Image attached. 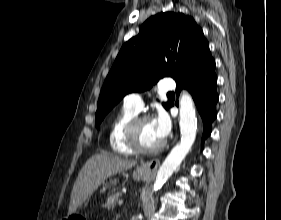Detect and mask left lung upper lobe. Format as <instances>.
Returning a JSON list of instances; mask_svg holds the SVG:
<instances>
[{
	"mask_svg": "<svg viewBox=\"0 0 281 220\" xmlns=\"http://www.w3.org/2000/svg\"><path fill=\"white\" fill-rule=\"evenodd\" d=\"M209 44L194 19L177 12L151 16L121 48L102 87L95 125L128 93L148 90L160 78L175 81ZM172 103H163L168 109Z\"/></svg>",
	"mask_w": 281,
	"mask_h": 220,
	"instance_id": "left-lung-upper-lobe-1",
	"label": "left lung upper lobe"
}]
</instances>
